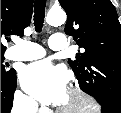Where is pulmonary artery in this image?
<instances>
[{"label": "pulmonary artery", "instance_id": "e3ab8cb5", "mask_svg": "<svg viewBox=\"0 0 121 113\" xmlns=\"http://www.w3.org/2000/svg\"><path fill=\"white\" fill-rule=\"evenodd\" d=\"M50 49L61 51L65 49V35L55 33L48 41ZM46 55V50L40 45L31 41H22L13 46L7 54L11 60L32 61Z\"/></svg>", "mask_w": 121, "mask_h": 113}]
</instances>
